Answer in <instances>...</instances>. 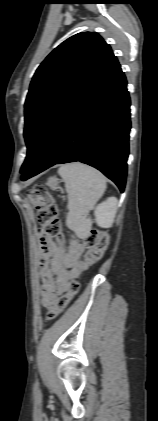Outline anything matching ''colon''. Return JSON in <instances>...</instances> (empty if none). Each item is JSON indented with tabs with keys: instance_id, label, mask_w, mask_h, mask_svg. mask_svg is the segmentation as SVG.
<instances>
[{
	"instance_id": "1",
	"label": "colon",
	"mask_w": 158,
	"mask_h": 421,
	"mask_svg": "<svg viewBox=\"0 0 158 421\" xmlns=\"http://www.w3.org/2000/svg\"><path fill=\"white\" fill-rule=\"evenodd\" d=\"M29 199L37 210V218L41 224L40 232L44 235L62 240L63 226L59 217V209L54 197L42 185H36L29 191ZM86 252L82 262V269H87L100 261L108 247L109 238L105 231L94 229L83 239ZM80 288L75 279L68 283L67 292L62 295L57 304L48 309L46 318L56 319L70 304Z\"/></svg>"
}]
</instances>
